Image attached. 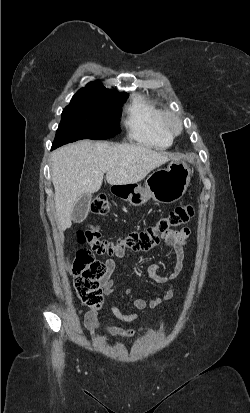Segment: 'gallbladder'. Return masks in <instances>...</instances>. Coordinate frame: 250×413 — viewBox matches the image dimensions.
I'll list each match as a JSON object with an SVG mask.
<instances>
[{
  "instance_id": "obj_1",
  "label": "gallbladder",
  "mask_w": 250,
  "mask_h": 413,
  "mask_svg": "<svg viewBox=\"0 0 250 413\" xmlns=\"http://www.w3.org/2000/svg\"><path fill=\"white\" fill-rule=\"evenodd\" d=\"M91 200V194H84L77 200L71 215L75 223H81L85 220L89 212Z\"/></svg>"
}]
</instances>
